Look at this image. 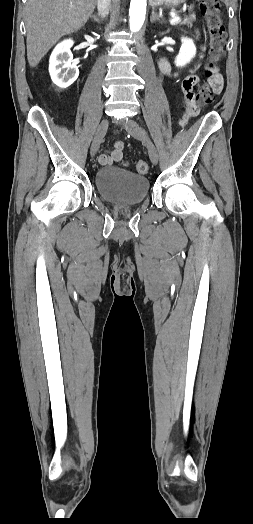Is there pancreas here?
Listing matches in <instances>:
<instances>
[{
    "label": "pancreas",
    "instance_id": "cf45deb5",
    "mask_svg": "<svg viewBox=\"0 0 253 524\" xmlns=\"http://www.w3.org/2000/svg\"><path fill=\"white\" fill-rule=\"evenodd\" d=\"M195 21V15L190 14L189 16H186L182 21L178 22L179 25H187L188 27H192V23Z\"/></svg>",
    "mask_w": 253,
    "mask_h": 524
}]
</instances>
